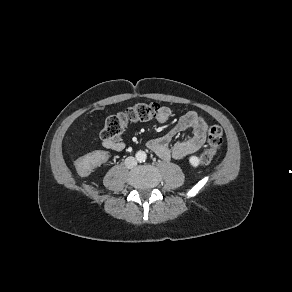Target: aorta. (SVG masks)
Segmentation results:
<instances>
[{
    "mask_svg": "<svg viewBox=\"0 0 292 292\" xmlns=\"http://www.w3.org/2000/svg\"><path fill=\"white\" fill-rule=\"evenodd\" d=\"M136 158L139 162H144L147 158V155L144 151H138L136 153Z\"/></svg>",
    "mask_w": 292,
    "mask_h": 292,
    "instance_id": "obj_1",
    "label": "aorta"
}]
</instances>
